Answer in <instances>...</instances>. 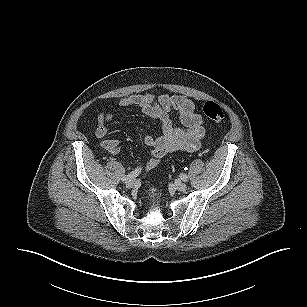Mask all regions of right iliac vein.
I'll return each instance as SVG.
<instances>
[{
  "label": "right iliac vein",
  "mask_w": 307,
  "mask_h": 307,
  "mask_svg": "<svg viewBox=\"0 0 307 307\" xmlns=\"http://www.w3.org/2000/svg\"><path fill=\"white\" fill-rule=\"evenodd\" d=\"M135 185H136L135 181H131V182L127 183L126 187L127 188H133V187H135Z\"/></svg>",
  "instance_id": "63e3f726"
}]
</instances>
